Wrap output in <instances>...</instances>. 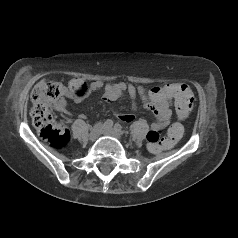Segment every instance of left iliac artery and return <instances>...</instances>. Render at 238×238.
Returning <instances> with one entry per match:
<instances>
[{
  "label": "left iliac artery",
  "instance_id": "1",
  "mask_svg": "<svg viewBox=\"0 0 238 238\" xmlns=\"http://www.w3.org/2000/svg\"><path fill=\"white\" fill-rule=\"evenodd\" d=\"M114 129L120 133H122V126L119 123H116Z\"/></svg>",
  "mask_w": 238,
  "mask_h": 238
}]
</instances>
